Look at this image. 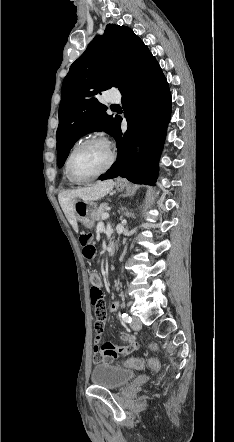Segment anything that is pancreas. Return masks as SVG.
Returning a JSON list of instances; mask_svg holds the SVG:
<instances>
[{"label": "pancreas", "instance_id": "pancreas-1", "mask_svg": "<svg viewBox=\"0 0 234 442\" xmlns=\"http://www.w3.org/2000/svg\"><path fill=\"white\" fill-rule=\"evenodd\" d=\"M108 208H109L108 203L100 204V206L97 208L96 213H95V220L99 221L102 218V215L106 212V210Z\"/></svg>", "mask_w": 234, "mask_h": 442}]
</instances>
